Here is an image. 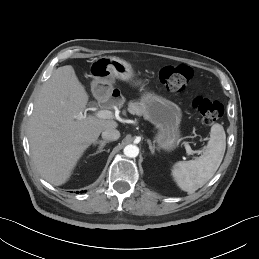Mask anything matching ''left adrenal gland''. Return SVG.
Masks as SVG:
<instances>
[{
  "mask_svg": "<svg viewBox=\"0 0 259 259\" xmlns=\"http://www.w3.org/2000/svg\"><path fill=\"white\" fill-rule=\"evenodd\" d=\"M147 143L149 145V149L151 151V154H154L155 153V146L152 145L151 141L149 139H147Z\"/></svg>",
  "mask_w": 259,
  "mask_h": 259,
  "instance_id": "1",
  "label": "left adrenal gland"
}]
</instances>
